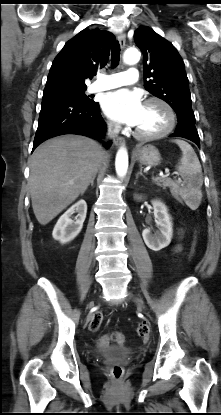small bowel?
Returning <instances> with one entry per match:
<instances>
[{"mask_svg":"<svg viewBox=\"0 0 221 415\" xmlns=\"http://www.w3.org/2000/svg\"><path fill=\"white\" fill-rule=\"evenodd\" d=\"M181 249H182L181 244H176V245L173 247V251H174V252H179V251H181Z\"/></svg>","mask_w":221,"mask_h":415,"instance_id":"c3829d8e","label":"small bowel"}]
</instances>
